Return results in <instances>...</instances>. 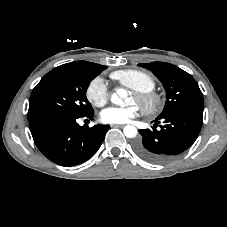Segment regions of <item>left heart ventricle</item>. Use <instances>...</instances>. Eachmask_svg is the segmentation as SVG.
<instances>
[{"label": "left heart ventricle", "mask_w": 227, "mask_h": 227, "mask_svg": "<svg viewBox=\"0 0 227 227\" xmlns=\"http://www.w3.org/2000/svg\"><path fill=\"white\" fill-rule=\"evenodd\" d=\"M136 100H135V98L134 97H132L131 98V102H135Z\"/></svg>", "instance_id": "b2bd125f"}]
</instances>
